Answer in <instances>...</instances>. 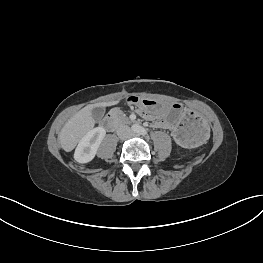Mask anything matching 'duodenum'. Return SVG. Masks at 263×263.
<instances>
[{
    "mask_svg": "<svg viewBox=\"0 0 263 263\" xmlns=\"http://www.w3.org/2000/svg\"><path fill=\"white\" fill-rule=\"evenodd\" d=\"M104 125L108 129H114L117 126V121L112 115H109L104 119Z\"/></svg>",
    "mask_w": 263,
    "mask_h": 263,
    "instance_id": "obj_1",
    "label": "duodenum"
}]
</instances>
